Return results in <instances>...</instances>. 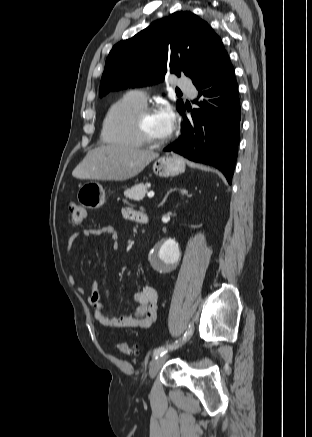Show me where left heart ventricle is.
<instances>
[{
	"label": "left heart ventricle",
	"mask_w": 312,
	"mask_h": 437,
	"mask_svg": "<svg viewBox=\"0 0 312 437\" xmlns=\"http://www.w3.org/2000/svg\"><path fill=\"white\" fill-rule=\"evenodd\" d=\"M142 126L146 134L154 140H163L168 137V134L162 128V124L157 116V113H152L145 116Z\"/></svg>",
	"instance_id": "1"
}]
</instances>
